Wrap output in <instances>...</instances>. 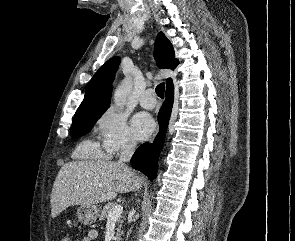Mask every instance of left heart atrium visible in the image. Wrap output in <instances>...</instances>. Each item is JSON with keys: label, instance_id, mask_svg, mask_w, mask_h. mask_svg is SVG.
<instances>
[{"label": "left heart atrium", "instance_id": "obj_1", "mask_svg": "<svg viewBox=\"0 0 295 241\" xmlns=\"http://www.w3.org/2000/svg\"><path fill=\"white\" fill-rule=\"evenodd\" d=\"M131 126L134 137L139 141H143L153 132L154 121L149 114L139 112L132 118Z\"/></svg>", "mask_w": 295, "mask_h": 241}]
</instances>
